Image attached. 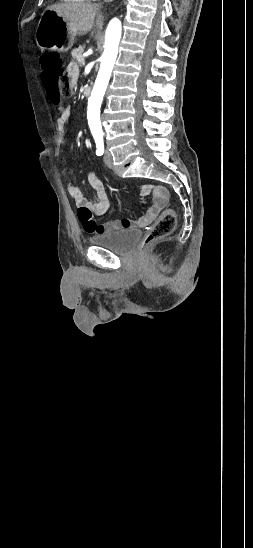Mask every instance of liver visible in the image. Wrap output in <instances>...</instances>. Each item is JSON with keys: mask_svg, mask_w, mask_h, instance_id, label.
Returning <instances> with one entry per match:
<instances>
[{"mask_svg": "<svg viewBox=\"0 0 253 548\" xmlns=\"http://www.w3.org/2000/svg\"><path fill=\"white\" fill-rule=\"evenodd\" d=\"M63 17L73 37L85 35L94 26L101 25L102 17L99 15V5L90 3H58L47 8Z\"/></svg>", "mask_w": 253, "mask_h": 548, "instance_id": "obj_1", "label": "liver"}]
</instances>
